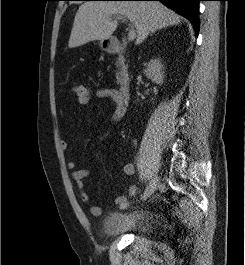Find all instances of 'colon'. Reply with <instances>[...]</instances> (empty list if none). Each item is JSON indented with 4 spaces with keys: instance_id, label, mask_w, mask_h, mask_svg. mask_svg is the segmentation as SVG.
<instances>
[{
    "instance_id": "5ec220e1",
    "label": "colon",
    "mask_w": 245,
    "mask_h": 265,
    "mask_svg": "<svg viewBox=\"0 0 245 265\" xmlns=\"http://www.w3.org/2000/svg\"><path fill=\"white\" fill-rule=\"evenodd\" d=\"M73 94L79 105L86 106L89 104L91 99V94H90V89L87 85L84 84L74 85Z\"/></svg>"
}]
</instances>
